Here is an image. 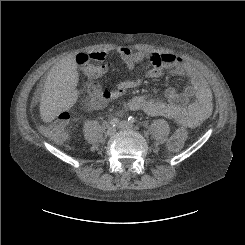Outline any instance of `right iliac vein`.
<instances>
[{
    "label": "right iliac vein",
    "instance_id": "right-iliac-vein-1",
    "mask_svg": "<svg viewBox=\"0 0 245 245\" xmlns=\"http://www.w3.org/2000/svg\"><path fill=\"white\" fill-rule=\"evenodd\" d=\"M116 133V128L115 127H109L106 131V134L108 136H113Z\"/></svg>",
    "mask_w": 245,
    "mask_h": 245
}]
</instances>
